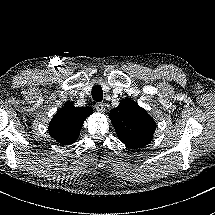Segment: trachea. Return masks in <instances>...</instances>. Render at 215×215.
<instances>
[{
  "instance_id": "obj_1",
  "label": "trachea",
  "mask_w": 215,
  "mask_h": 215,
  "mask_svg": "<svg viewBox=\"0 0 215 215\" xmlns=\"http://www.w3.org/2000/svg\"><path fill=\"white\" fill-rule=\"evenodd\" d=\"M92 98L95 101H101L103 99V91H102V87L100 85H95L92 88Z\"/></svg>"
}]
</instances>
